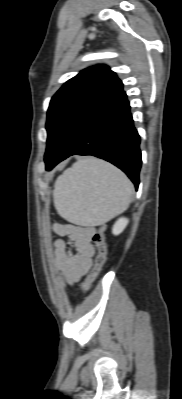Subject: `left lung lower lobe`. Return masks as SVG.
Returning <instances> with one entry per match:
<instances>
[{"mask_svg": "<svg viewBox=\"0 0 182 399\" xmlns=\"http://www.w3.org/2000/svg\"><path fill=\"white\" fill-rule=\"evenodd\" d=\"M139 144L130 105L122 90L83 122L62 153L46 164V170L74 154L93 155L123 170L137 189L142 163Z\"/></svg>", "mask_w": 182, "mask_h": 399, "instance_id": "0a47b994", "label": "left lung lower lobe"}]
</instances>
